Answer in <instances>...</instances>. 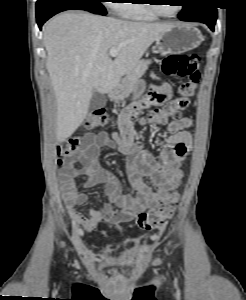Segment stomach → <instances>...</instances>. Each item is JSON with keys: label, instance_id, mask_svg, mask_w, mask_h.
Returning <instances> with one entry per match:
<instances>
[{"label": "stomach", "instance_id": "0dacf381", "mask_svg": "<svg viewBox=\"0 0 246 300\" xmlns=\"http://www.w3.org/2000/svg\"><path fill=\"white\" fill-rule=\"evenodd\" d=\"M204 40L200 30L191 24L180 23L169 27L156 40V48L162 55L181 54L183 52L197 48ZM145 89V82L138 80L133 90L130 92L133 99H138ZM111 100L115 102L123 101L127 96L117 87L110 92Z\"/></svg>", "mask_w": 246, "mask_h": 300}]
</instances>
